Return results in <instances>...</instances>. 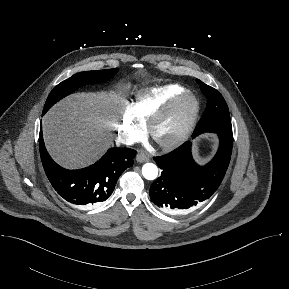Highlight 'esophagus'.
I'll list each match as a JSON object with an SVG mask.
<instances>
[{"instance_id": "obj_1", "label": "esophagus", "mask_w": 289, "mask_h": 289, "mask_svg": "<svg viewBox=\"0 0 289 289\" xmlns=\"http://www.w3.org/2000/svg\"><path fill=\"white\" fill-rule=\"evenodd\" d=\"M136 160L139 163H144V162H147L149 158L144 153H138L136 156Z\"/></svg>"}]
</instances>
